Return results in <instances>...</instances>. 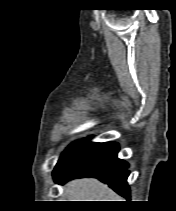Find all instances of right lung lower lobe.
<instances>
[{
  "mask_svg": "<svg viewBox=\"0 0 176 211\" xmlns=\"http://www.w3.org/2000/svg\"><path fill=\"white\" fill-rule=\"evenodd\" d=\"M116 143H93L82 139L68 149L53 171L56 183H65L76 177H96L121 196L129 199L127 184L128 164L117 158Z\"/></svg>",
  "mask_w": 176,
  "mask_h": 211,
  "instance_id": "98d812e1",
  "label": "right lung lower lobe"
}]
</instances>
